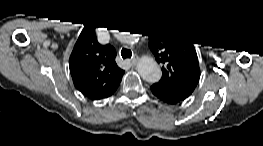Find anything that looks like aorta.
Segmentation results:
<instances>
[{
	"label": "aorta",
	"mask_w": 263,
	"mask_h": 146,
	"mask_svg": "<svg viewBox=\"0 0 263 146\" xmlns=\"http://www.w3.org/2000/svg\"><path fill=\"white\" fill-rule=\"evenodd\" d=\"M121 39L126 43L133 44L137 41L136 34H130L128 32L121 33ZM137 70L140 76L147 82H156L161 77V71L153 58H143L137 65Z\"/></svg>",
	"instance_id": "762f6f07"
}]
</instances>
